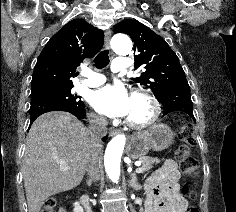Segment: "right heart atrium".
Masks as SVG:
<instances>
[{
    "instance_id": "right-heart-atrium-1",
    "label": "right heart atrium",
    "mask_w": 236,
    "mask_h": 212,
    "mask_svg": "<svg viewBox=\"0 0 236 212\" xmlns=\"http://www.w3.org/2000/svg\"><path fill=\"white\" fill-rule=\"evenodd\" d=\"M89 118L92 122L94 123H102L103 122V119L102 117H100L99 115L95 114V113H91L89 115Z\"/></svg>"
}]
</instances>
